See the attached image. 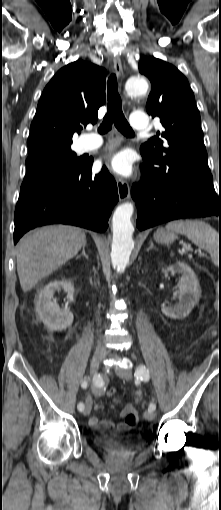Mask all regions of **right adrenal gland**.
Instances as JSON below:
<instances>
[{"instance_id":"obj_1","label":"right adrenal gland","mask_w":221,"mask_h":510,"mask_svg":"<svg viewBox=\"0 0 221 510\" xmlns=\"http://www.w3.org/2000/svg\"><path fill=\"white\" fill-rule=\"evenodd\" d=\"M86 245H87V243H85V244L83 245L82 252H81V254H79V255H77V256H76V259H79V258H80V257H82V256H84L86 259H88V255L85 253Z\"/></svg>"}]
</instances>
